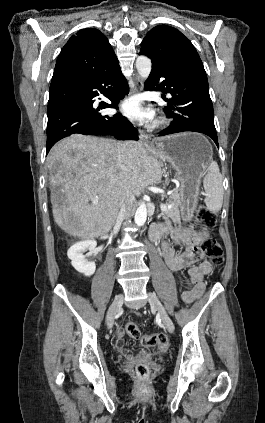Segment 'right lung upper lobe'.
Segmentation results:
<instances>
[{"label": "right lung upper lobe", "instance_id": "right-lung-upper-lobe-1", "mask_svg": "<svg viewBox=\"0 0 265 423\" xmlns=\"http://www.w3.org/2000/svg\"><path fill=\"white\" fill-rule=\"evenodd\" d=\"M117 66V57L106 37L97 29L87 28L73 35L62 48L52 82Z\"/></svg>", "mask_w": 265, "mask_h": 423}]
</instances>
